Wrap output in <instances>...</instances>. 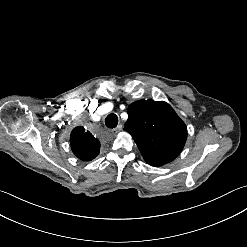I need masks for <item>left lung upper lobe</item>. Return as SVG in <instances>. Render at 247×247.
<instances>
[{"instance_id":"1","label":"left lung upper lobe","mask_w":247,"mask_h":247,"mask_svg":"<svg viewBox=\"0 0 247 247\" xmlns=\"http://www.w3.org/2000/svg\"><path fill=\"white\" fill-rule=\"evenodd\" d=\"M127 113L124 130L131 134L148 164L162 166L180 154L187 128L168 103L139 100L129 105Z\"/></svg>"}]
</instances>
